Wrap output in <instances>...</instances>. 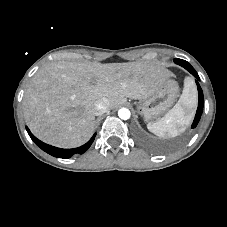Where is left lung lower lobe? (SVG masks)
Here are the masks:
<instances>
[{
  "mask_svg": "<svg viewBox=\"0 0 227 227\" xmlns=\"http://www.w3.org/2000/svg\"><path fill=\"white\" fill-rule=\"evenodd\" d=\"M174 62L182 67H184L187 71H189L195 78H196V84H197V88H198V94H199V103H198V108H197V112L195 115V119L193 121V124L191 126V128H195L200 120V117L202 115V111H203V104H204V98H203V92L202 89L199 85V76L197 74V72L195 71V69L185 60H181V59H176L174 60Z\"/></svg>",
  "mask_w": 227,
  "mask_h": 227,
  "instance_id": "obj_1",
  "label": "left lung lower lobe"
}]
</instances>
